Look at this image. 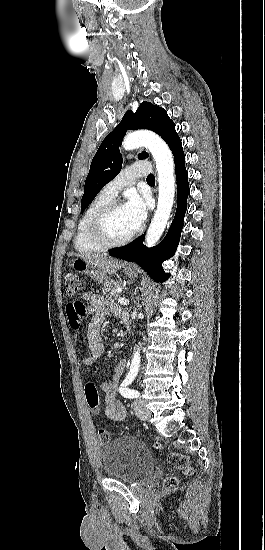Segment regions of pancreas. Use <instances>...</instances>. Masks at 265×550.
I'll list each match as a JSON object with an SVG mask.
<instances>
[{
	"label": "pancreas",
	"mask_w": 265,
	"mask_h": 550,
	"mask_svg": "<svg viewBox=\"0 0 265 550\" xmlns=\"http://www.w3.org/2000/svg\"><path fill=\"white\" fill-rule=\"evenodd\" d=\"M123 287L124 285L121 281L111 280L104 283L102 287V292L110 301H114L120 298V295L117 293V289Z\"/></svg>",
	"instance_id": "obj_1"
}]
</instances>
